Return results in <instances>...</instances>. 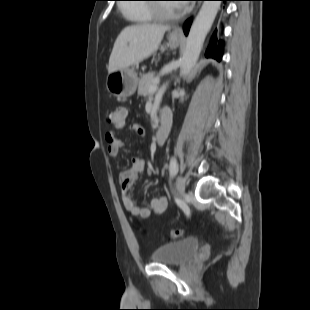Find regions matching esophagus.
<instances>
[{
  "mask_svg": "<svg viewBox=\"0 0 310 310\" xmlns=\"http://www.w3.org/2000/svg\"><path fill=\"white\" fill-rule=\"evenodd\" d=\"M173 34L176 35V36H180V37H183V31L181 28L177 27L173 30Z\"/></svg>",
  "mask_w": 310,
  "mask_h": 310,
  "instance_id": "obj_1",
  "label": "esophagus"
}]
</instances>
